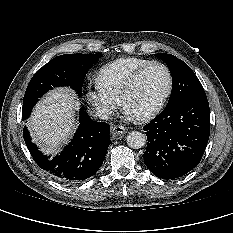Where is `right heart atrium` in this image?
<instances>
[{
    "label": "right heart atrium",
    "mask_w": 233,
    "mask_h": 233,
    "mask_svg": "<svg viewBox=\"0 0 233 233\" xmlns=\"http://www.w3.org/2000/svg\"><path fill=\"white\" fill-rule=\"evenodd\" d=\"M86 98L101 116L109 115L118 105V98L106 91L97 80L87 89Z\"/></svg>",
    "instance_id": "right-heart-atrium-1"
}]
</instances>
